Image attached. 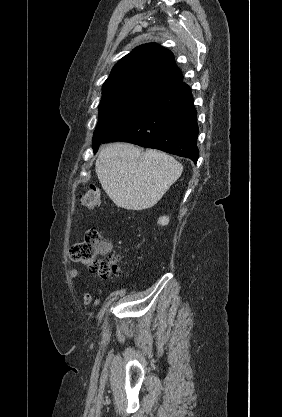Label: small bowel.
Wrapping results in <instances>:
<instances>
[{"instance_id": "c3829d8e", "label": "small bowel", "mask_w": 282, "mask_h": 417, "mask_svg": "<svg viewBox=\"0 0 282 417\" xmlns=\"http://www.w3.org/2000/svg\"><path fill=\"white\" fill-rule=\"evenodd\" d=\"M81 274L82 272L79 268H71L69 270V277L73 280L79 278ZM102 292H103L102 287L98 289L96 297H94L92 292L90 291L86 292L81 299L82 305L88 306L90 304H93V306H98L100 303V295L102 294Z\"/></svg>"}]
</instances>
